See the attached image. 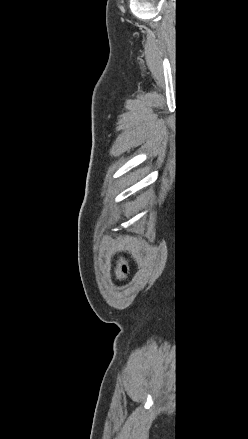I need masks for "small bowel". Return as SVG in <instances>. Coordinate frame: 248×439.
Here are the masks:
<instances>
[{
    "mask_svg": "<svg viewBox=\"0 0 248 439\" xmlns=\"http://www.w3.org/2000/svg\"><path fill=\"white\" fill-rule=\"evenodd\" d=\"M129 272L128 264L120 259L115 260L114 273L118 280L125 281Z\"/></svg>",
    "mask_w": 248,
    "mask_h": 439,
    "instance_id": "small-bowel-1",
    "label": "small bowel"
}]
</instances>
